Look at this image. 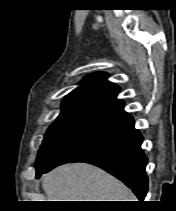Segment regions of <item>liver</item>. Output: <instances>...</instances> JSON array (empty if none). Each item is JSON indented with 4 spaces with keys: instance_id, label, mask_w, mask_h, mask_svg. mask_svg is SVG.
Listing matches in <instances>:
<instances>
[{
    "instance_id": "6515ba94",
    "label": "liver",
    "mask_w": 176,
    "mask_h": 211,
    "mask_svg": "<svg viewBox=\"0 0 176 211\" xmlns=\"http://www.w3.org/2000/svg\"><path fill=\"white\" fill-rule=\"evenodd\" d=\"M42 188L48 201H136L122 182L85 163L55 168L43 176Z\"/></svg>"
}]
</instances>
